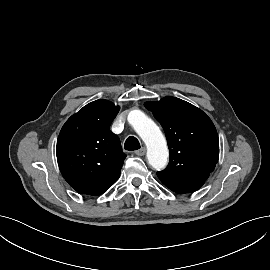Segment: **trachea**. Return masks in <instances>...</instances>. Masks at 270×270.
<instances>
[{
  "mask_svg": "<svg viewBox=\"0 0 270 270\" xmlns=\"http://www.w3.org/2000/svg\"><path fill=\"white\" fill-rule=\"evenodd\" d=\"M124 147L128 151H134L140 148V143L137 138L130 136L125 141Z\"/></svg>",
  "mask_w": 270,
  "mask_h": 270,
  "instance_id": "1",
  "label": "trachea"
}]
</instances>
